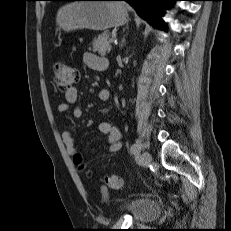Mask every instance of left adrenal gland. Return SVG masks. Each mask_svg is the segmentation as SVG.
I'll return each mask as SVG.
<instances>
[{"label":"left adrenal gland","instance_id":"left-adrenal-gland-1","mask_svg":"<svg viewBox=\"0 0 231 231\" xmlns=\"http://www.w3.org/2000/svg\"><path fill=\"white\" fill-rule=\"evenodd\" d=\"M125 37H126V35H123V38H122V40H121V48L123 47V45H124V43H125Z\"/></svg>","mask_w":231,"mask_h":231}]
</instances>
